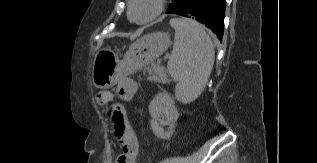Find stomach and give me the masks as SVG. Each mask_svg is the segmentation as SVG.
I'll return each mask as SVG.
<instances>
[{
    "label": "stomach",
    "mask_w": 317,
    "mask_h": 163,
    "mask_svg": "<svg viewBox=\"0 0 317 163\" xmlns=\"http://www.w3.org/2000/svg\"><path fill=\"white\" fill-rule=\"evenodd\" d=\"M170 45L166 32H154L136 40L121 58L111 49L99 50L92 66V81L95 87H113L121 78L149 64L163 54Z\"/></svg>",
    "instance_id": "0dacf381"
}]
</instances>
